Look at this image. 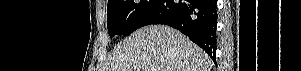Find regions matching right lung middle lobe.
Segmentation results:
<instances>
[{"label":"right lung middle lobe","instance_id":"dd1d6c3e","mask_svg":"<svg viewBox=\"0 0 301 71\" xmlns=\"http://www.w3.org/2000/svg\"><path fill=\"white\" fill-rule=\"evenodd\" d=\"M157 0H108L107 28L110 37L130 35L140 27Z\"/></svg>","mask_w":301,"mask_h":71}]
</instances>
